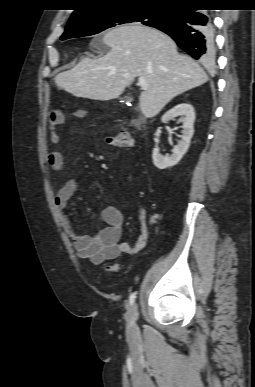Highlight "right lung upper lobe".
<instances>
[{"mask_svg":"<svg viewBox=\"0 0 255 387\" xmlns=\"http://www.w3.org/2000/svg\"><path fill=\"white\" fill-rule=\"evenodd\" d=\"M200 0H78V8L72 13L69 22L111 8L122 6H161L176 7L198 3Z\"/></svg>","mask_w":255,"mask_h":387,"instance_id":"right-lung-upper-lobe-1","label":"right lung upper lobe"}]
</instances>
